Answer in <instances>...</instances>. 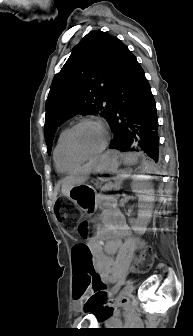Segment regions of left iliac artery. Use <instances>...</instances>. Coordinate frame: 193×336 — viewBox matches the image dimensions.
I'll list each match as a JSON object with an SVG mask.
<instances>
[{
  "instance_id": "left-iliac-artery-1",
  "label": "left iliac artery",
  "mask_w": 193,
  "mask_h": 336,
  "mask_svg": "<svg viewBox=\"0 0 193 336\" xmlns=\"http://www.w3.org/2000/svg\"><path fill=\"white\" fill-rule=\"evenodd\" d=\"M120 288V284H117L115 288L113 289V292H116Z\"/></svg>"
}]
</instances>
